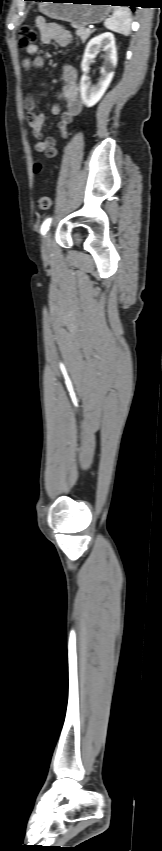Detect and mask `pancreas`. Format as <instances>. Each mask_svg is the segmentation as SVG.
I'll list each match as a JSON object with an SVG mask.
<instances>
[{
  "label": "pancreas",
  "instance_id": "obj_1",
  "mask_svg": "<svg viewBox=\"0 0 162 851\" xmlns=\"http://www.w3.org/2000/svg\"><path fill=\"white\" fill-rule=\"evenodd\" d=\"M72 26L74 28H76V35L78 37H80L82 42H85L90 37V35L93 33V30H86L84 27H79V26H76V25H72Z\"/></svg>",
  "mask_w": 162,
  "mask_h": 851
}]
</instances>
